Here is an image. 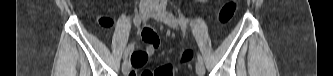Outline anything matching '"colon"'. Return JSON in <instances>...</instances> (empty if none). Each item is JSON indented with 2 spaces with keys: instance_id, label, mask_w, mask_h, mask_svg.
I'll use <instances>...</instances> for the list:
<instances>
[{
  "instance_id": "colon-1",
  "label": "colon",
  "mask_w": 333,
  "mask_h": 76,
  "mask_svg": "<svg viewBox=\"0 0 333 76\" xmlns=\"http://www.w3.org/2000/svg\"><path fill=\"white\" fill-rule=\"evenodd\" d=\"M237 9V3L235 1H229L225 3L219 13V21L222 24H227L232 17L234 16ZM192 58L191 51H185L182 54L181 61L182 63H186L190 61ZM141 76H174V69L171 64L162 65L154 70H147L140 74ZM130 76H136V73L132 71Z\"/></svg>"
}]
</instances>
